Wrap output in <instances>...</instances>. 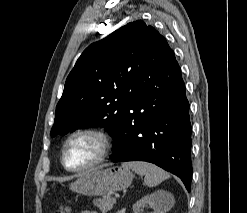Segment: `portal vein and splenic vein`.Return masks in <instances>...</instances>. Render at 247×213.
<instances>
[{
  "mask_svg": "<svg viewBox=\"0 0 247 213\" xmlns=\"http://www.w3.org/2000/svg\"><path fill=\"white\" fill-rule=\"evenodd\" d=\"M112 202H113V203H116V198L113 197V198H112Z\"/></svg>",
  "mask_w": 247,
  "mask_h": 213,
  "instance_id": "18ae733b",
  "label": "portal vein and splenic vein"
}]
</instances>
